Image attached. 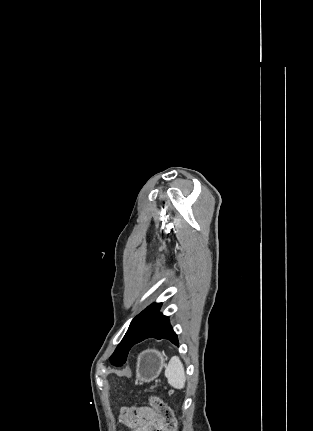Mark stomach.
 Returning <instances> with one entry per match:
<instances>
[{"label":"stomach","instance_id":"obj_1","mask_svg":"<svg viewBox=\"0 0 313 431\" xmlns=\"http://www.w3.org/2000/svg\"><path fill=\"white\" fill-rule=\"evenodd\" d=\"M165 365V355L157 350H146L138 356L136 382L149 383L159 376Z\"/></svg>","mask_w":313,"mask_h":431}]
</instances>
